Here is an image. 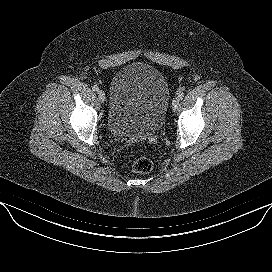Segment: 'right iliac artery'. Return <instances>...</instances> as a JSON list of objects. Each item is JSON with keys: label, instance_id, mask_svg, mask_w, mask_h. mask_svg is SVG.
I'll return each mask as SVG.
<instances>
[{"label": "right iliac artery", "instance_id": "obj_1", "mask_svg": "<svg viewBox=\"0 0 272 272\" xmlns=\"http://www.w3.org/2000/svg\"><path fill=\"white\" fill-rule=\"evenodd\" d=\"M92 89H93V91H96V92L99 91V87H98L97 85H94V86L92 87Z\"/></svg>", "mask_w": 272, "mask_h": 272}]
</instances>
